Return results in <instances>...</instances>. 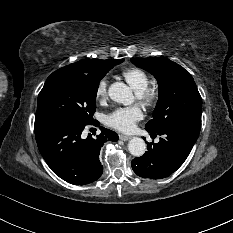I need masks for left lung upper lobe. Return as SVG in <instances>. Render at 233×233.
I'll use <instances>...</instances> for the list:
<instances>
[{
  "label": "left lung upper lobe",
  "instance_id": "left-lung-upper-lobe-1",
  "mask_svg": "<svg viewBox=\"0 0 233 233\" xmlns=\"http://www.w3.org/2000/svg\"><path fill=\"white\" fill-rule=\"evenodd\" d=\"M132 63L150 72L158 81L159 98L146 130L161 132L181 118L201 113L202 100L192 76L164 57L132 58Z\"/></svg>",
  "mask_w": 233,
  "mask_h": 233
}]
</instances>
